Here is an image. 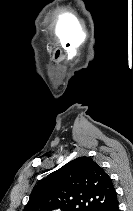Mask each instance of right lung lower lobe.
Segmentation results:
<instances>
[{
    "label": "right lung lower lobe",
    "instance_id": "right-lung-lower-lobe-1",
    "mask_svg": "<svg viewBox=\"0 0 133 211\" xmlns=\"http://www.w3.org/2000/svg\"><path fill=\"white\" fill-rule=\"evenodd\" d=\"M108 211H119L118 210V202L113 207H111Z\"/></svg>",
    "mask_w": 133,
    "mask_h": 211
}]
</instances>
